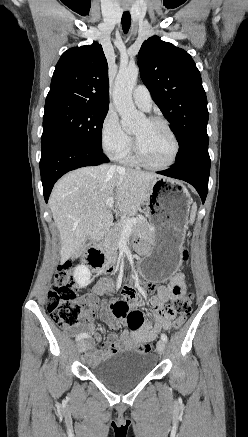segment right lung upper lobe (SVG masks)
<instances>
[{
    "mask_svg": "<svg viewBox=\"0 0 248 437\" xmlns=\"http://www.w3.org/2000/svg\"><path fill=\"white\" fill-rule=\"evenodd\" d=\"M52 100L109 108L108 64L100 44L70 48L62 54L46 98Z\"/></svg>",
    "mask_w": 248,
    "mask_h": 437,
    "instance_id": "obj_1",
    "label": "right lung upper lobe"
}]
</instances>
